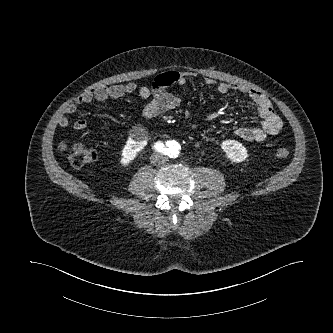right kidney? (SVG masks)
<instances>
[{"instance_id": "1", "label": "right kidney", "mask_w": 333, "mask_h": 333, "mask_svg": "<svg viewBox=\"0 0 333 333\" xmlns=\"http://www.w3.org/2000/svg\"><path fill=\"white\" fill-rule=\"evenodd\" d=\"M146 144L145 137H129L121 151L120 164L128 166Z\"/></svg>"}]
</instances>
